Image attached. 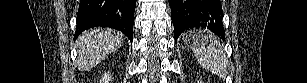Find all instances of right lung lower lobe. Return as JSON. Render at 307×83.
<instances>
[{
	"label": "right lung lower lobe",
	"instance_id": "obj_1",
	"mask_svg": "<svg viewBox=\"0 0 307 83\" xmlns=\"http://www.w3.org/2000/svg\"><path fill=\"white\" fill-rule=\"evenodd\" d=\"M136 0H81L75 38L83 31L94 27L114 28L132 42Z\"/></svg>",
	"mask_w": 307,
	"mask_h": 83
}]
</instances>
